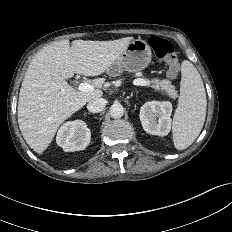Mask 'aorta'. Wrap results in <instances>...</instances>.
Listing matches in <instances>:
<instances>
[{
	"instance_id": "1",
	"label": "aorta",
	"mask_w": 232,
	"mask_h": 232,
	"mask_svg": "<svg viewBox=\"0 0 232 232\" xmlns=\"http://www.w3.org/2000/svg\"><path fill=\"white\" fill-rule=\"evenodd\" d=\"M110 116L112 118H121L124 114V108L120 103H114L110 107Z\"/></svg>"
}]
</instances>
